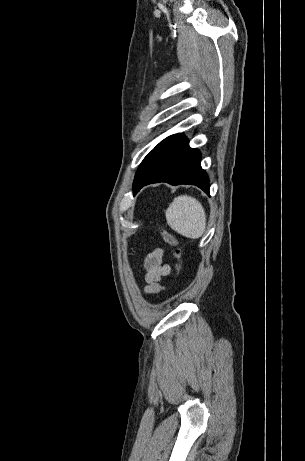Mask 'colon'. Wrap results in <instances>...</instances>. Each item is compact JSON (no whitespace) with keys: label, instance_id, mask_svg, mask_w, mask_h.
<instances>
[{"label":"colon","instance_id":"5ec220e1","mask_svg":"<svg viewBox=\"0 0 305 461\" xmlns=\"http://www.w3.org/2000/svg\"><path fill=\"white\" fill-rule=\"evenodd\" d=\"M158 232L160 233L164 242H166L168 245L175 248L174 256L176 260V270H177V273H180L182 269V265H181V250L179 248L178 240L172 233H170L169 231L165 229L159 228Z\"/></svg>","mask_w":305,"mask_h":461}]
</instances>
